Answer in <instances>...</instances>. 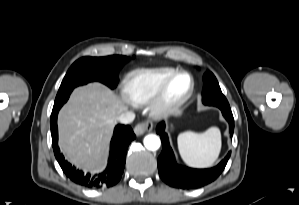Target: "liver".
<instances>
[{
    "instance_id": "1",
    "label": "liver",
    "mask_w": 299,
    "mask_h": 205,
    "mask_svg": "<svg viewBox=\"0 0 299 205\" xmlns=\"http://www.w3.org/2000/svg\"><path fill=\"white\" fill-rule=\"evenodd\" d=\"M126 110V101L100 83L76 88L58 116L61 151L78 168L98 171L117 117Z\"/></svg>"
}]
</instances>
